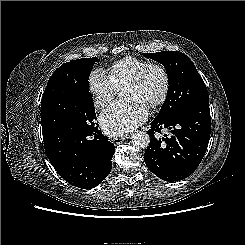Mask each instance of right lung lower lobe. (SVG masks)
Segmentation results:
<instances>
[{
  "label": "right lung lower lobe",
  "mask_w": 245,
  "mask_h": 245,
  "mask_svg": "<svg viewBox=\"0 0 245 245\" xmlns=\"http://www.w3.org/2000/svg\"><path fill=\"white\" fill-rule=\"evenodd\" d=\"M44 148L59 175L73 186L90 189L110 173L115 147L97 126L42 127Z\"/></svg>",
  "instance_id": "right-lung-lower-lobe-1"
}]
</instances>
